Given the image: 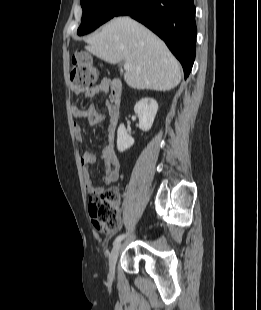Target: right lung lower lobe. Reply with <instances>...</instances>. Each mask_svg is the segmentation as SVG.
Listing matches in <instances>:
<instances>
[{
	"mask_svg": "<svg viewBox=\"0 0 261 310\" xmlns=\"http://www.w3.org/2000/svg\"><path fill=\"white\" fill-rule=\"evenodd\" d=\"M129 15L156 33L183 66L185 78L195 59L193 0H128L115 16Z\"/></svg>",
	"mask_w": 261,
	"mask_h": 310,
	"instance_id": "obj_1",
	"label": "right lung lower lobe"
}]
</instances>
